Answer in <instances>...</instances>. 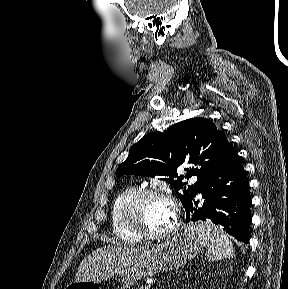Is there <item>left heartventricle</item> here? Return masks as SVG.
<instances>
[{
	"mask_svg": "<svg viewBox=\"0 0 288 289\" xmlns=\"http://www.w3.org/2000/svg\"><path fill=\"white\" fill-rule=\"evenodd\" d=\"M173 217L171 204L161 198L145 199L138 210L141 227L149 232H160L169 228Z\"/></svg>",
	"mask_w": 288,
	"mask_h": 289,
	"instance_id": "b2bd125f",
	"label": "left heart ventricle"
}]
</instances>
